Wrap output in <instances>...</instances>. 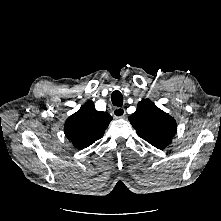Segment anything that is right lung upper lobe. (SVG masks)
Segmentation results:
<instances>
[{"instance_id": "obj_1", "label": "right lung upper lobe", "mask_w": 221, "mask_h": 221, "mask_svg": "<svg viewBox=\"0 0 221 221\" xmlns=\"http://www.w3.org/2000/svg\"><path fill=\"white\" fill-rule=\"evenodd\" d=\"M112 117L107 112L97 111L92 101H87L65 123V135L72 144L82 150L103 137Z\"/></svg>"}]
</instances>
